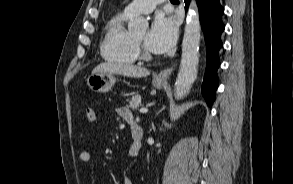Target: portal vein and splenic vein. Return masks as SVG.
<instances>
[{
    "instance_id": "18ae733b",
    "label": "portal vein and splenic vein",
    "mask_w": 293,
    "mask_h": 184,
    "mask_svg": "<svg viewBox=\"0 0 293 184\" xmlns=\"http://www.w3.org/2000/svg\"><path fill=\"white\" fill-rule=\"evenodd\" d=\"M139 111H140V113L144 114V113L148 112V109L147 108H141Z\"/></svg>"
}]
</instances>
